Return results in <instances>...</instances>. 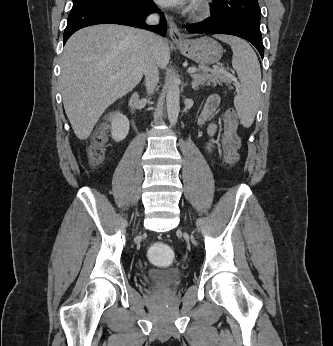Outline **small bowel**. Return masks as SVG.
<instances>
[{"label": "small bowel", "mask_w": 333, "mask_h": 346, "mask_svg": "<svg viewBox=\"0 0 333 346\" xmlns=\"http://www.w3.org/2000/svg\"><path fill=\"white\" fill-rule=\"evenodd\" d=\"M218 105H219V97L217 95H211L204 104V107L202 109L201 116H200V121L203 122L204 120L209 118L216 111ZM215 132H216V125L214 123H210L207 128L208 135L212 137L214 136ZM205 148L208 153H212L215 148L214 142L208 141L206 143Z\"/></svg>", "instance_id": "obj_1"}]
</instances>
